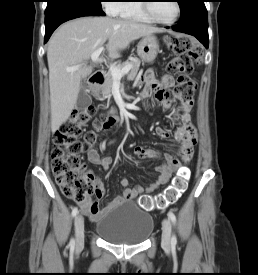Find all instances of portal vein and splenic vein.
Returning <instances> with one entry per match:
<instances>
[{
	"mask_svg": "<svg viewBox=\"0 0 258 275\" xmlns=\"http://www.w3.org/2000/svg\"><path fill=\"white\" fill-rule=\"evenodd\" d=\"M103 50H104V47H100L96 51H94L91 55V60L93 62H102V61H104L102 58H99V56H100V54L102 53ZM79 67H80V65H76L74 67H68V68H66V70L68 72H74V71L78 70ZM131 67H132L131 65H127V66H124L122 69H118L116 66H111L110 71L112 73L113 79H116V80L121 79L124 74L129 72Z\"/></svg>",
	"mask_w": 258,
	"mask_h": 275,
	"instance_id": "obj_1",
	"label": "portal vein and splenic vein"
}]
</instances>
